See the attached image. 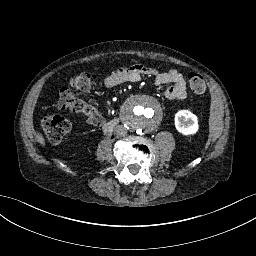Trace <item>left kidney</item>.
Wrapping results in <instances>:
<instances>
[{
    "label": "left kidney",
    "instance_id": "5707ae66",
    "mask_svg": "<svg viewBox=\"0 0 256 256\" xmlns=\"http://www.w3.org/2000/svg\"><path fill=\"white\" fill-rule=\"evenodd\" d=\"M198 116L189 110H179L174 117L176 130L183 136L195 135L199 130Z\"/></svg>",
    "mask_w": 256,
    "mask_h": 256
}]
</instances>
